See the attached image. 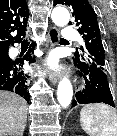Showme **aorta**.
I'll use <instances>...</instances> for the list:
<instances>
[{"instance_id": "aorta-1", "label": "aorta", "mask_w": 117, "mask_h": 136, "mask_svg": "<svg viewBox=\"0 0 117 136\" xmlns=\"http://www.w3.org/2000/svg\"><path fill=\"white\" fill-rule=\"evenodd\" d=\"M51 18L55 25L63 27L69 23L70 14L66 8L56 7L53 9ZM73 88L68 78H63L58 85L57 99L62 107H68L72 101Z\"/></svg>"}]
</instances>
